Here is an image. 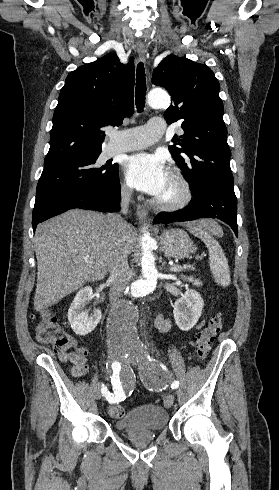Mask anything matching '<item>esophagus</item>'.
Listing matches in <instances>:
<instances>
[{"instance_id":"34e87169","label":"esophagus","mask_w":279,"mask_h":490,"mask_svg":"<svg viewBox=\"0 0 279 490\" xmlns=\"http://www.w3.org/2000/svg\"><path fill=\"white\" fill-rule=\"evenodd\" d=\"M137 48V53L141 61L146 62V47L144 44H139L136 45ZM146 208L144 205H137V215L140 218V220H143L146 218Z\"/></svg>"}]
</instances>
